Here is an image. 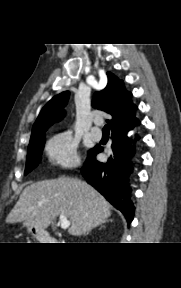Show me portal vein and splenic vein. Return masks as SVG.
Instances as JSON below:
<instances>
[{"label":"portal vein and splenic vein","mask_w":181,"mask_h":288,"mask_svg":"<svg viewBox=\"0 0 181 288\" xmlns=\"http://www.w3.org/2000/svg\"><path fill=\"white\" fill-rule=\"evenodd\" d=\"M59 221L61 223L62 229H67L70 226V221L67 219V217L63 214H60Z\"/></svg>","instance_id":"obj_1"}]
</instances>
